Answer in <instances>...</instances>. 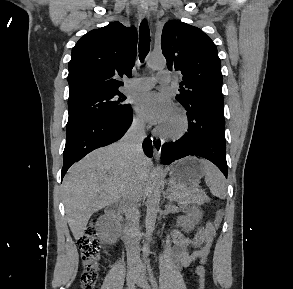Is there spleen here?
<instances>
[{
	"label": "spleen",
	"mask_w": 293,
	"mask_h": 289,
	"mask_svg": "<svg viewBox=\"0 0 293 289\" xmlns=\"http://www.w3.org/2000/svg\"><path fill=\"white\" fill-rule=\"evenodd\" d=\"M204 168L205 182L213 196L224 199L227 194V184L223 174L207 160H200Z\"/></svg>",
	"instance_id": "1"
}]
</instances>
